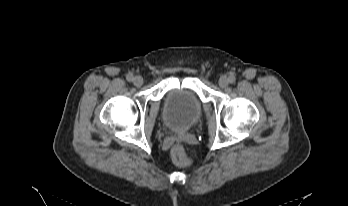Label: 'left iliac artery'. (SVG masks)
Here are the masks:
<instances>
[{
  "mask_svg": "<svg viewBox=\"0 0 348 206\" xmlns=\"http://www.w3.org/2000/svg\"><path fill=\"white\" fill-rule=\"evenodd\" d=\"M235 81H236L235 76H234V75H230V76H229V82H230L231 84H233V83H235Z\"/></svg>",
  "mask_w": 348,
  "mask_h": 206,
  "instance_id": "obj_1",
  "label": "left iliac artery"
}]
</instances>
